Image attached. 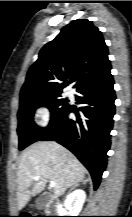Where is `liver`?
Instances as JSON below:
<instances>
[{"mask_svg":"<svg viewBox=\"0 0 132 217\" xmlns=\"http://www.w3.org/2000/svg\"><path fill=\"white\" fill-rule=\"evenodd\" d=\"M86 169L66 148L52 141L37 142L21 155L17 171V210H22L32 196L54 181L59 196L70 186L83 181ZM40 176L39 179H35Z\"/></svg>","mask_w":132,"mask_h":217,"instance_id":"1","label":"liver"}]
</instances>
